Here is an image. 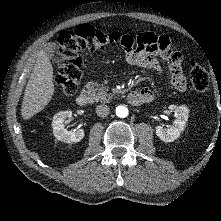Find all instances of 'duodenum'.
Returning <instances> with one entry per match:
<instances>
[{"label": "duodenum", "instance_id": "1", "mask_svg": "<svg viewBox=\"0 0 221 221\" xmlns=\"http://www.w3.org/2000/svg\"><path fill=\"white\" fill-rule=\"evenodd\" d=\"M127 99L129 103L132 105H140L146 102L145 97L137 91L131 92L128 94ZM76 103L79 106H86L89 103V96L85 92H81L77 97H76Z\"/></svg>", "mask_w": 221, "mask_h": 221}]
</instances>
